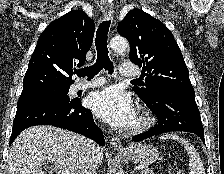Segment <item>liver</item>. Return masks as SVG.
<instances>
[{"mask_svg":"<svg viewBox=\"0 0 224 174\" xmlns=\"http://www.w3.org/2000/svg\"><path fill=\"white\" fill-rule=\"evenodd\" d=\"M86 138L54 126H33L19 134L9 149L8 174H46L44 162L53 163L57 174H79ZM103 152L95 158L101 165Z\"/></svg>","mask_w":224,"mask_h":174,"instance_id":"liver-1","label":"liver"}]
</instances>
